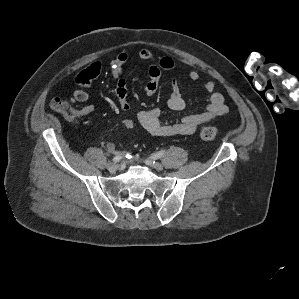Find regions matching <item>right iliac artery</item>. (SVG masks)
I'll use <instances>...</instances> for the list:
<instances>
[{
	"label": "right iliac artery",
	"mask_w": 299,
	"mask_h": 299,
	"mask_svg": "<svg viewBox=\"0 0 299 299\" xmlns=\"http://www.w3.org/2000/svg\"><path fill=\"white\" fill-rule=\"evenodd\" d=\"M121 159H122V156H121V155H116V156L113 158V161H114V162H119Z\"/></svg>",
	"instance_id": "right-iliac-artery-1"
}]
</instances>
